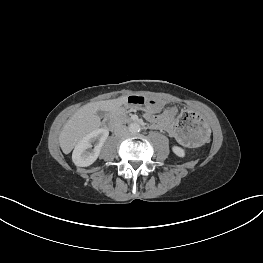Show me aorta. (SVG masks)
<instances>
[{"mask_svg": "<svg viewBox=\"0 0 263 263\" xmlns=\"http://www.w3.org/2000/svg\"><path fill=\"white\" fill-rule=\"evenodd\" d=\"M128 130L131 133H137L141 130V127L138 123L134 122V123H130L128 126Z\"/></svg>", "mask_w": 263, "mask_h": 263, "instance_id": "obj_1", "label": "aorta"}]
</instances>
